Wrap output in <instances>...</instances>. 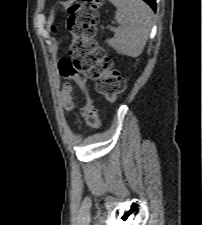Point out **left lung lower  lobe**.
Masks as SVG:
<instances>
[{
    "instance_id": "0a47b994",
    "label": "left lung lower lobe",
    "mask_w": 202,
    "mask_h": 225,
    "mask_svg": "<svg viewBox=\"0 0 202 225\" xmlns=\"http://www.w3.org/2000/svg\"><path fill=\"white\" fill-rule=\"evenodd\" d=\"M146 3H148V5L153 9L156 10V0H144Z\"/></svg>"
}]
</instances>
